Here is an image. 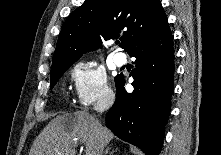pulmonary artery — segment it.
Returning <instances> with one entry per match:
<instances>
[{"instance_id": "1", "label": "pulmonary artery", "mask_w": 221, "mask_h": 155, "mask_svg": "<svg viewBox=\"0 0 221 155\" xmlns=\"http://www.w3.org/2000/svg\"><path fill=\"white\" fill-rule=\"evenodd\" d=\"M114 62L117 66H123L126 64L127 62V59H126V56L124 53L122 52H117L115 55H114Z\"/></svg>"}]
</instances>
